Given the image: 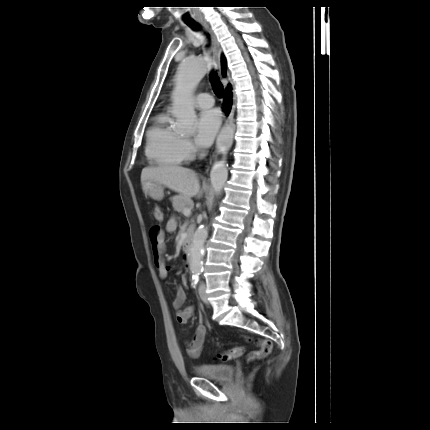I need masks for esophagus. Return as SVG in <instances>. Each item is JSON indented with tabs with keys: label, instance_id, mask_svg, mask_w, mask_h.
<instances>
[{
	"label": "esophagus",
	"instance_id": "esophagus-1",
	"mask_svg": "<svg viewBox=\"0 0 430 430\" xmlns=\"http://www.w3.org/2000/svg\"><path fill=\"white\" fill-rule=\"evenodd\" d=\"M210 34H211V40H212V51H213V61H214V69L215 71L220 75L221 74V54H222V49L220 46V43L218 41V39L216 38V36L214 35V33L209 30ZM225 115L223 116V118L225 119ZM213 157L210 158V163L212 162Z\"/></svg>",
	"mask_w": 430,
	"mask_h": 430
}]
</instances>
